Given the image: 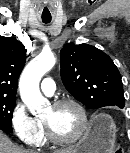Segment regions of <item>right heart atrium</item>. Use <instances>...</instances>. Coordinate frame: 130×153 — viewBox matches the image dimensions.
Wrapping results in <instances>:
<instances>
[{
  "label": "right heart atrium",
  "mask_w": 130,
  "mask_h": 153,
  "mask_svg": "<svg viewBox=\"0 0 130 153\" xmlns=\"http://www.w3.org/2000/svg\"><path fill=\"white\" fill-rule=\"evenodd\" d=\"M11 127L16 137L27 145H37L42 138V131L36 118L32 117L23 102L18 101L10 115Z\"/></svg>",
  "instance_id": "right-heart-atrium-1"
}]
</instances>
